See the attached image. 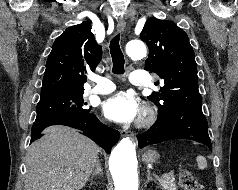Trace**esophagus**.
I'll return each mask as SVG.
<instances>
[{"label":"esophagus","instance_id":"esophagus-1","mask_svg":"<svg viewBox=\"0 0 238 190\" xmlns=\"http://www.w3.org/2000/svg\"><path fill=\"white\" fill-rule=\"evenodd\" d=\"M125 27H126V22L123 19H119L117 22V31L122 32L124 31ZM120 135L121 137H133V134L126 130H121Z\"/></svg>","mask_w":238,"mask_h":190}]
</instances>
